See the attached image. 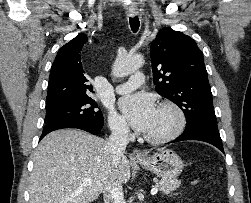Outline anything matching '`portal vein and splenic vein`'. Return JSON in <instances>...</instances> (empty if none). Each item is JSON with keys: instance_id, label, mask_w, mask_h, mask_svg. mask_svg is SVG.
I'll list each match as a JSON object with an SVG mask.
<instances>
[{"instance_id": "portal-vein-and-splenic-vein-1", "label": "portal vein and splenic vein", "mask_w": 251, "mask_h": 203, "mask_svg": "<svg viewBox=\"0 0 251 203\" xmlns=\"http://www.w3.org/2000/svg\"><path fill=\"white\" fill-rule=\"evenodd\" d=\"M84 183H86V184H87V183L91 184L92 181H91L90 179H86V180H84ZM157 192H158V186L152 188V190H151V194H152V195H155Z\"/></svg>"}]
</instances>
